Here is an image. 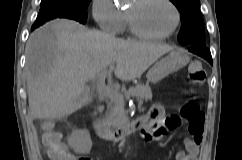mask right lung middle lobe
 Listing matches in <instances>:
<instances>
[{
	"instance_id": "1",
	"label": "right lung middle lobe",
	"mask_w": 242,
	"mask_h": 160,
	"mask_svg": "<svg viewBox=\"0 0 242 160\" xmlns=\"http://www.w3.org/2000/svg\"><path fill=\"white\" fill-rule=\"evenodd\" d=\"M91 0H41L40 11L32 28L54 18H68L85 24Z\"/></svg>"
}]
</instances>
